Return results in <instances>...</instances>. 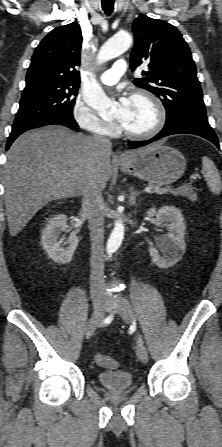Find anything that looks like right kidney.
Wrapping results in <instances>:
<instances>
[{"instance_id":"right-kidney-1","label":"right kidney","mask_w":222,"mask_h":447,"mask_svg":"<svg viewBox=\"0 0 222 447\" xmlns=\"http://www.w3.org/2000/svg\"><path fill=\"white\" fill-rule=\"evenodd\" d=\"M67 216L58 214L49 219L41 234V244L48 257L58 264H67L72 260L73 254L78 246L79 238L71 234L67 240L68 246L61 247L59 235L67 231Z\"/></svg>"}]
</instances>
